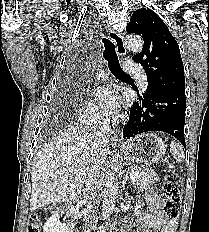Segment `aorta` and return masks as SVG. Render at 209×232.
<instances>
[{"instance_id": "1", "label": "aorta", "mask_w": 209, "mask_h": 232, "mask_svg": "<svg viewBox=\"0 0 209 232\" xmlns=\"http://www.w3.org/2000/svg\"><path fill=\"white\" fill-rule=\"evenodd\" d=\"M126 47L134 53H138L143 48V40L139 36H127L125 39ZM119 166L115 163L109 167L104 179V188L102 192V215L107 218L112 213L118 192V182L116 172Z\"/></svg>"}]
</instances>
